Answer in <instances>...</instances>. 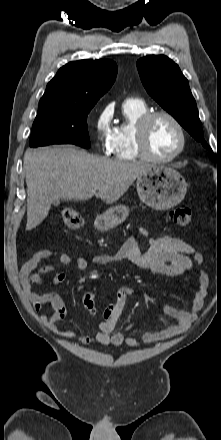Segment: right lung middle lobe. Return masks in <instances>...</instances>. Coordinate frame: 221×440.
I'll list each match as a JSON object with an SVG mask.
<instances>
[{
    "label": "right lung middle lobe",
    "instance_id": "dd1d6c3e",
    "mask_svg": "<svg viewBox=\"0 0 221 440\" xmlns=\"http://www.w3.org/2000/svg\"><path fill=\"white\" fill-rule=\"evenodd\" d=\"M93 106L50 100L39 102V111L32 127L30 146L75 144L89 148L87 115Z\"/></svg>",
    "mask_w": 221,
    "mask_h": 440
}]
</instances>
